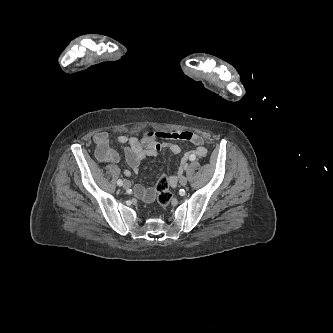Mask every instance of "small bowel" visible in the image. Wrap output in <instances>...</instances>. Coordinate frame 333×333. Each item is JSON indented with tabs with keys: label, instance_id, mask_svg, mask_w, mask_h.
<instances>
[{
	"label": "small bowel",
	"instance_id": "1",
	"mask_svg": "<svg viewBox=\"0 0 333 333\" xmlns=\"http://www.w3.org/2000/svg\"><path fill=\"white\" fill-rule=\"evenodd\" d=\"M117 140L124 149L127 163L130 166V169L124 170L126 176L136 174L141 166L142 160L148 155L157 156L162 150L180 153V147L169 142V140L192 142L196 148L185 153L182 157L178 170L169 179V183L172 187L177 185L178 178L187 167L188 162L205 156L207 152L203 145V138L189 131L151 132L146 134L143 140H139L132 136L121 135ZM93 141L95 143V155L99 162L117 163L119 161L118 153L109 146V137L106 132H97L93 136ZM145 144H148L147 147ZM135 195L146 202H151L154 198V192L152 189L144 188L140 185L136 186Z\"/></svg>",
	"mask_w": 333,
	"mask_h": 333
}]
</instances>
